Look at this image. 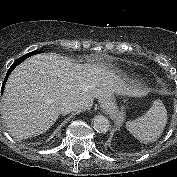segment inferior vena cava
<instances>
[{
  "mask_svg": "<svg viewBox=\"0 0 177 177\" xmlns=\"http://www.w3.org/2000/svg\"><path fill=\"white\" fill-rule=\"evenodd\" d=\"M80 107L79 102L75 100H65L59 106V112L67 114L72 111H76Z\"/></svg>",
  "mask_w": 177,
  "mask_h": 177,
  "instance_id": "obj_1",
  "label": "inferior vena cava"
}]
</instances>
